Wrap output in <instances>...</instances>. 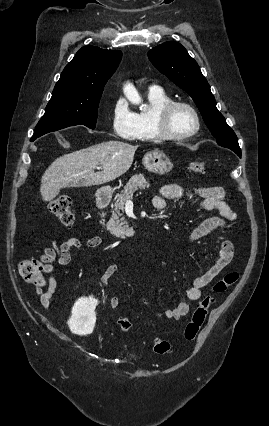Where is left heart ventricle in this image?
<instances>
[{"instance_id":"1","label":"left heart ventricle","mask_w":269,"mask_h":426,"mask_svg":"<svg viewBox=\"0 0 269 426\" xmlns=\"http://www.w3.org/2000/svg\"><path fill=\"white\" fill-rule=\"evenodd\" d=\"M170 126L175 133H186L194 129L195 119L188 109L178 107L172 113Z\"/></svg>"}]
</instances>
